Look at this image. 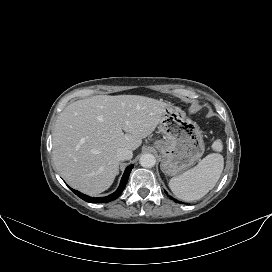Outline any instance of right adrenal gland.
<instances>
[{"instance_id":"right-adrenal-gland-1","label":"right adrenal gland","mask_w":272,"mask_h":272,"mask_svg":"<svg viewBox=\"0 0 272 272\" xmlns=\"http://www.w3.org/2000/svg\"><path fill=\"white\" fill-rule=\"evenodd\" d=\"M119 165H121V162L118 163L117 174L119 173Z\"/></svg>"}]
</instances>
